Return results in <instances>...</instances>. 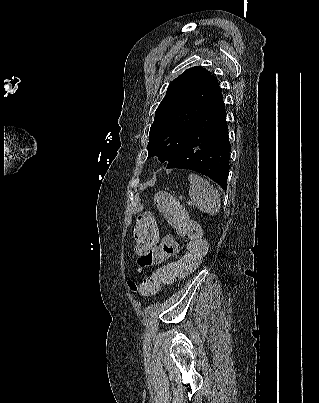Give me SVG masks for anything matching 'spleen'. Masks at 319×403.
<instances>
[{"mask_svg": "<svg viewBox=\"0 0 319 403\" xmlns=\"http://www.w3.org/2000/svg\"><path fill=\"white\" fill-rule=\"evenodd\" d=\"M190 182L189 196L196 207L207 214L216 215L220 210V194L206 179L200 175L191 173L188 176Z\"/></svg>", "mask_w": 319, "mask_h": 403, "instance_id": "obj_1", "label": "spleen"}]
</instances>
